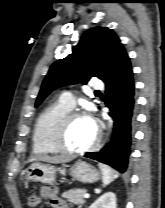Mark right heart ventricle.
Instances as JSON below:
<instances>
[{"label":"right heart ventricle","instance_id":"right-heart-ventricle-1","mask_svg":"<svg viewBox=\"0 0 165 208\" xmlns=\"http://www.w3.org/2000/svg\"><path fill=\"white\" fill-rule=\"evenodd\" d=\"M70 110L71 108L58 101L46 107L39 114L32 135L34 153L43 155L59 153L53 144V132L61 117Z\"/></svg>","mask_w":165,"mask_h":208}]
</instances>
